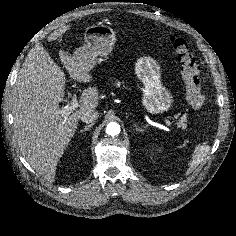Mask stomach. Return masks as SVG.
I'll use <instances>...</instances> for the list:
<instances>
[{"mask_svg":"<svg viewBox=\"0 0 236 236\" xmlns=\"http://www.w3.org/2000/svg\"><path fill=\"white\" fill-rule=\"evenodd\" d=\"M85 44L76 49L72 59L92 69L98 56L111 53L116 37L112 28L106 25L87 27L84 34ZM137 78L142 83V104L151 114L168 111L173 103L171 92L161 82V68L158 62L149 56L139 58L134 67Z\"/></svg>","mask_w":236,"mask_h":236,"instance_id":"0dacf381","label":"stomach"}]
</instances>
